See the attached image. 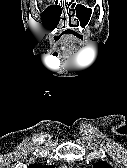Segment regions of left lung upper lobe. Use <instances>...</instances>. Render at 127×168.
I'll return each mask as SVG.
<instances>
[{
	"label": "left lung upper lobe",
	"instance_id": "5c2ea615",
	"mask_svg": "<svg viewBox=\"0 0 127 168\" xmlns=\"http://www.w3.org/2000/svg\"><path fill=\"white\" fill-rule=\"evenodd\" d=\"M93 168H113V167L104 161H99L94 164Z\"/></svg>",
	"mask_w": 127,
	"mask_h": 168
}]
</instances>
